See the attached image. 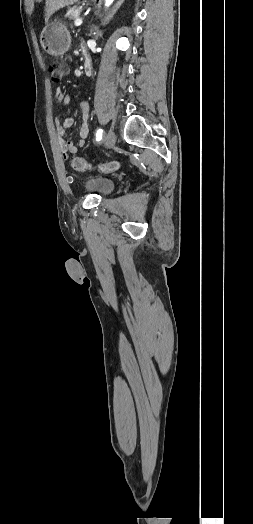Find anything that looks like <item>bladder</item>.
<instances>
[{"instance_id": "bladder-1", "label": "bladder", "mask_w": 253, "mask_h": 524, "mask_svg": "<svg viewBox=\"0 0 253 524\" xmlns=\"http://www.w3.org/2000/svg\"><path fill=\"white\" fill-rule=\"evenodd\" d=\"M84 187L86 190L104 197L114 190L115 182L107 177H90L85 181Z\"/></svg>"}]
</instances>
